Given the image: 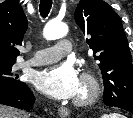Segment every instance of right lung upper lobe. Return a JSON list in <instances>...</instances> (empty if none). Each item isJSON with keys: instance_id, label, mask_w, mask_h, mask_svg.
<instances>
[{"instance_id": "1", "label": "right lung upper lobe", "mask_w": 133, "mask_h": 118, "mask_svg": "<svg viewBox=\"0 0 133 118\" xmlns=\"http://www.w3.org/2000/svg\"><path fill=\"white\" fill-rule=\"evenodd\" d=\"M28 21L21 5L15 0L0 3V62H14L20 54Z\"/></svg>"}]
</instances>
